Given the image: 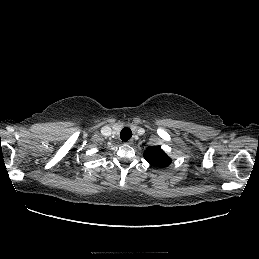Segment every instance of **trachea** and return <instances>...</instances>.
Returning <instances> with one entry per match:
<instances>
[{
	"mask_svg": "<svg viewBox=\"0 0 259 259\" xmlns=\"http://www.w3.org/2000/svg\"><path fill=\"white\" fill-rule=\"evenodd\" d=\"M131 137H132V131L128 127H125L121 130V133H120L121 140L128 141Z\"/></svg>",
	"mask_w": 259,
	"mask_h": 259,
	"instance_id": "3493384b",
	"label": "trachea"
}]
</instances>
